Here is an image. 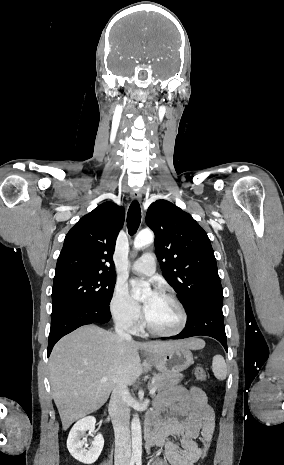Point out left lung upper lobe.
Returning a JSON list of instances; mask_svg holds the SVG:
<instances>
[{
	"label": "left lung upper lobe",
	"mask_w": 284,
	"mask_h": 465,
	"mask_svg": "<svg viewBox=\"0 0 284 465\" xmlns=\"http://www.w3.org/2000/svg\"><path fill=\"white\" fill-rule=\"evenodd\" d=\"M146 223L154 231L162 274L186 311L204 302H223V289L210 240L204 229L173 203L157 200Z\"/></svg>",
	"instance_id": "5c2ea615"
}]
</instances>
